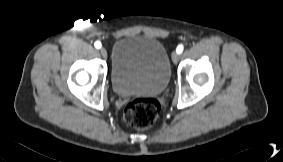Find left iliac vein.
Wrapping results in <instances>:
<instances>
[{
  "label": "left iliac vein",
  "mask_w": 283,
  "mask_h": 162,
  "mask_svg": "<svg viewBox=\"0 0 283 162\" xmlns=\"http://www.w3.org/2000/svg\"><path fill=\"white\" fill-rule=\"evenodd\" d=\"M172 61L174 64H176L179 60V54L177 52H173L171 55Z\"/></svg>",
  "instance_id": "left-iliac-vein-1"
}]
</instances>
